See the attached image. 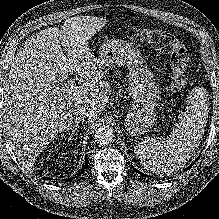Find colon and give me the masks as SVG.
Segmentation results:
<instances>
[{
  "mask_svg": "<svg viewBox=\"0 0 219 219\" xmlns=\"http://www.w3.org/2000/svg\"><path fill=\"white\" fill-rule=\"evenodd\" d=\"M127 35L130 38L147 42L169 54L173 75V90H182L187 85L186 68L189 53L185 44L179 38L165 31L138 27L128 29Z\"/></svg>",
  "mask_w": 219,
  "mask_h": 219,
  "instance_id": "1",
  "label": "colon"
}]
</instances>
